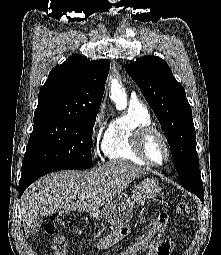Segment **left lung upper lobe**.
Returning <instances> with one entry per match:
<instances>
[{
  "instance_id": "obj_1",
  "label": "left lung upper lobe",
  "mask_w": 221,
  "mask_h": 255,
  "mask_svg": "<svg viewBox=\"0 0 221 255\" xmlns=\"http://www.w3.org/2000/svg\"><path fill=\"white\" fill-rule=\"evenodd\" d=\"M159 120L173 155L181 186L203 190L192 110L182 85L160 57L147 55L125 67Z\"/></svg>"
}]
</instances>
